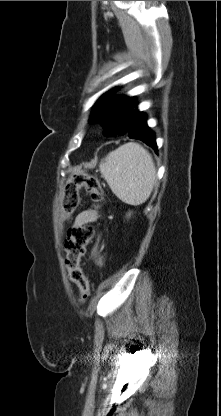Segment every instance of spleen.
I'll return each instance as SVG.
<instances>
[{"label":"spleen","mask_w":221,"mask_h":416,"mask_svg":"<svg viewBox=\"0 0 221 416\" xmlns=\"http://www.w3.org/2000/svg\"><path fill=\"white\" fill-rule=\"evenodd\" d=\"M99 168L112 192L130 205L144 203L156 182L151 154L135 142L123 144L110 152L101 161Z\"/></svg>","instance_id":"obj_1"}]
</instances>
